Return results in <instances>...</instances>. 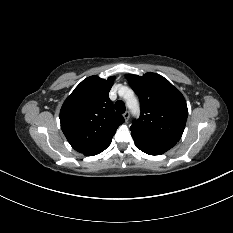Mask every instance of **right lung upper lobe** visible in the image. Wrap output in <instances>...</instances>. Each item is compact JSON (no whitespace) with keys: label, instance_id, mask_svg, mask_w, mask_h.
Returning a JSON list of instances; mask_svg holds the SVG:
<instances>
[{"label":"right lung upper lobe","instance_id":"right-lung-upper-lobe-1","mask_svg":"<svg viewBox=\"0 0 233 233\" xmlns=\"http://www.w3.org/2000/svg\"><path fill=\"white\" fill-rule=\"evenodd\" d=\"M114 77L91 76L82 81L65 100L60 111L61 128L70 145L85 153L112 140L124 122L114 111L109 91Z\"/></svg>","mask_w":233,"mask_h":233}]
</instances>
